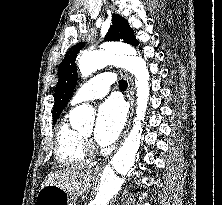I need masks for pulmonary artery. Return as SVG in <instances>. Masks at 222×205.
<instances>
[{
    "label": "pulmonary artery",
    "mask_w": 222,
    "mask_h": 205,
    "mask_svg": "<svg viewBox=\"0 0 222 205\" xmlns=\"http://www.w3.org/2000/svg\"><path fill=\"white\" fill-rule=\"evenodd\" d=\"M113 83L108 72H101L82 85L71 99V106L105 96Z\"/></svg>",
    "instance_id": "e3ab8cb5"
}]
</instances>
